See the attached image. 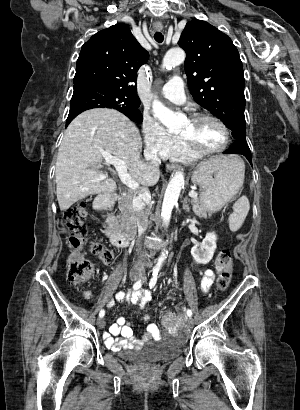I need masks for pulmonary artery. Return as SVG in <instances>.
Masks as SVG:
<instances>
[{"label":"pulmonary artery","mask_w":300,"mask_h":410,"mask_svg":"<svg viewBox=\"0 0 300 410\" xmlns=\"http://www.w3.org/2000/svg\"><path fill=\"white\" fill-rule=\"evenodd\" d=\"M183 86L182 78L174 76L163 86L161 94L165 99L181 104L186 99Z\"/></svg>","instance_id":"1"}]
</instances>
